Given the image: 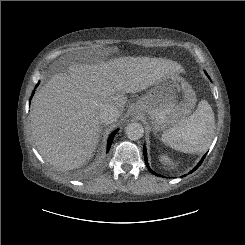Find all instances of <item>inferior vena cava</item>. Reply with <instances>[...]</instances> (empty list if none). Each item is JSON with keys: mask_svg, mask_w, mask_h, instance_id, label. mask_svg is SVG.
I'll return each instance as SVG.
<instances>
[{"mask_svg": "<svg viewBox=\"0 0 245 245\" xmlns=\"http://www.w3.org/2000/svg\"><path fill=\"white\" fill-rule=\"evenodd\" d=\"M119 117V110L115 105L106 103L99 108V118L101 122L111 124L117 121Z\"/></svg>", "mask_w": 245, "mask_h": 245, "instance_id": "602c4592", "label": "inferior vena cava"}]
</instances>
